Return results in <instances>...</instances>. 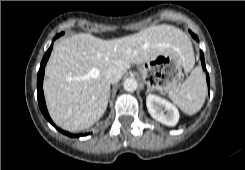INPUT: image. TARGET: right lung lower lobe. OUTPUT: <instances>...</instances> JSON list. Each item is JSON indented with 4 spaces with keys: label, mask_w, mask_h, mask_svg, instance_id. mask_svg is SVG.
I'll return each mask as SVG.
<instances>
[{
    "label": "right lung lower lobe",
    "mask_w": 245,
    "mask_h": 170,
    "mask_svg": "<svg viewBox=\"0 0 245 170\" xmlns=\"http://www.w3.org/2000/svg\"><path fill=\"white\" fill-rule=\"evenodd\" d=\"M59 36L60 35H57L55 37V39L58 38ZM52 47H53V45H51L50 48L48 49V51L45 53V55H44V57L42 59L41 65H40V69H39L38 77H37V94H38V103H39V107L41 109L42 114L47 119V121L50 122L54 126V123L50 119V116H49L48 111H47V108H46L44 94H43V88H42V85H43V77H44V72H45V65H46L47 60H48V58L50 56ZM60 131L62 133H64L65 135H68V136H71V137L75 136V135H72V134H70L68 132H65L63 130H60ZM76 136H78V135H76Z\"/></svg>",
    "instance_id": "right-lung-lower-lobe-1"
}]
</instances>
